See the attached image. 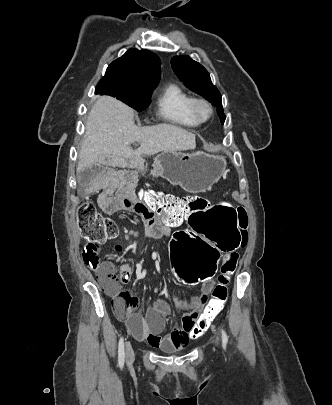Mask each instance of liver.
I'll list each match as a JSON object with an SVG mask.
<instances>
[{"label": "liver", "mask_w": 332, "mask_h": 405, "mask_svg": "<svg viewBox=\"0 0 332 405\" xmlns=\"http://www.w3.org/2000/svg\"><path fill=\"white\" fill-rule=\"evenodd\" d=\"M133 118L134 110L124 103L99 97L88 114L77 171L97 162L117 166L125 159L196 148L195 135L183 128L172 124L137 128ZM134 142H140L136 150L131 148Z\"/></svg>", "instance_id": "1"}]
</instances>
